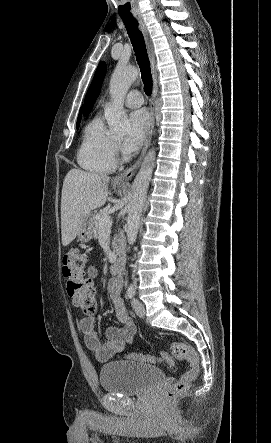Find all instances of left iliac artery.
<instances>
[{
	"instance_id": "left-iliac-artery-1",
	"label": "left iliac artery",
	"mask_w": 271,
	"mask_h": 443,
	"mask_svg": "<svg viewBox=\"0 0 271 443\" xmlns=\"http://www.w3.org/2000/svg\"><path fill=\"white\" fill-rule=\"evenodd\" d=\"M127 297L131 299L135 295V288L133 285H130L127 289Z\"/></svg>"
}]
</instances>
